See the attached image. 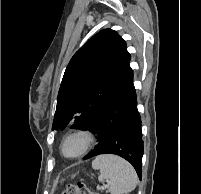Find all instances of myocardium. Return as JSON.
Listing matches in <instances>:
<instances>
[{
	"instance_id": "1",
	"label": "myocardium",
	"mask_w": 201,
	"mask_h": 194,
	"mask_svg": "<svg viewBox=\"0 0 201 194\" xmlns=\"http://www.w3.org/2000/svg\"><path fill=\"white\" fill-rule=\"evenodd\" d=\"M76 137H80L83 139V147L82 149L77 152L76 154L73 155H68L64 152V146L66 144V142L72 138H76ZM95 134L94 132L89 129V128H84V127H79L76 129H73L71 131H69L68 133H66L61 142H60V146H59V150L61 155L69 160H76L79 158L84 157L86 154L89 153V151L93 148L94 144H95Z\"/></svg>"
}]
</instances>
